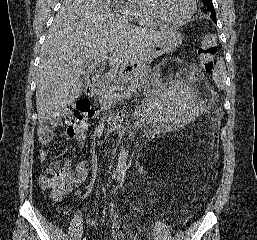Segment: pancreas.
I'll return each mask as SVG.
<instances>
[{
    "label": "pancreas",
    "mask_w": 257,
    "mask_h": 240,
    "mask_svg": "<svg viewBox=\"0 0 257 240\" xmlns=\"http://www.w3.org/2000/svg\"><path fill=\"white\" fill-rule=\"evenodd\" d=\"M150 73L151 69L147 66L134 71L130 77V87H132L135 90L136 88L144 85V83L149 78ZM115 95H117V93H115L113 87L102 85L100 89L97 91L99 103L102 106V108H109L113 103H116L118 99L114 97Z\"/></svg>",
    "instance_id": "1"
}]
</instances>
